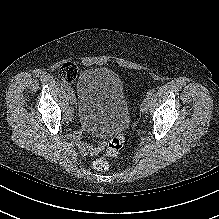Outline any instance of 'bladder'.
<instances>
[{
  "label": "bladder",
  "instance_id": "bladder-1",
  "mask_svg": "<svg viewBox=\"0 0 219 219\" xmlns=\"http://www.w3.org/2000/svg\"><path fill=\"white\" fill-rule=\"evenodd\" d=\"M78 118L84 127L113 133L129 120L124 88L120 77L105 67L88 68L76 84Z\"/></svg>",
  "mask_w": 219,
  "mask_h": 219
}]
</instances>
